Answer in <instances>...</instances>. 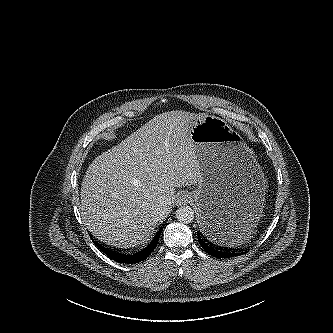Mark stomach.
I'll return each instance as SVG.
<instances>
[{"instance_id": "stomach-1", "label": "stomach", "mask_w": 333, "mask_h": 333, "mask_svg": "<svg viewBox=\"0 0 333 333\" xmlns=\"http://www.w3.org/2000/svg\"><path fill=\"white\" fill-rule=\"evenodd\" d=\"M200 178L193 198L200 226L220 248H241L257 235L265 193L264 173L239 133L215 116L197 118L190 130Z\"/></svg>"}]
</instances>
